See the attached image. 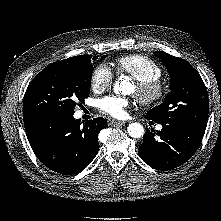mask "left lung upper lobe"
<instances>
[{"label": "left lung upper lobe", "instance_id": "5c2ea615", "mask_svg": "<svg viewBox=\"0 0 221 221\" xmlns=\"http://www.w3.org/2000/svg\"><path fill=\"white\" fill-rule=\"evenodd\" d=\"M170 74V92L146 118L163 125H188L202 130L208 121V96L199 73L184 59L156 51Z\"/></svg>", "mask_w": 221, "mask_h": 221}]
</instances>
